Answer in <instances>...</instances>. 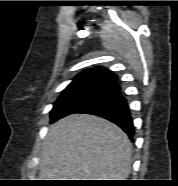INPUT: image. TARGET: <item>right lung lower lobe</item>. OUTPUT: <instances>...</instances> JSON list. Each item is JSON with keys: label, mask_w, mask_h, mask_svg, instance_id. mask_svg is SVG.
Returning <instances> with one entry per match:
<instances>
[{"label": "right lung lower lobe", "mask_w": 178, "mask_h": 186, "mask_svg": "<svg viewBox=\"0 0 178 186\" xmlns=\"http://www.w3.org/2000/svg\"><path fill=\"white\" fill-rule=\"evenodd\" d=\"M74 113L100 116L118 125L130 138L134 135L130 109L118 83Z\"/></svg>", "instance_id": "obj_1"}]
</instances>
